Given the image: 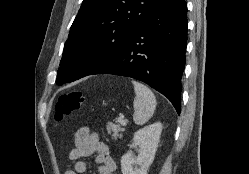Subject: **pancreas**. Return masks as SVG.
I'll use <instances>...</instances> for the list:
<instances>
[{"instance_id":"obj_1","label":"pancreas","mask_w":249,"mask_h":174,"mask_svg":"<svg viewBox=\"0 0 249 174\" xmlns=\"http://www.w3.org/2000/svg\"><path fill=\"white\" fill-rule=\"evenodd\" d=\"M107 131L113 139L117 140L119 137H122V133L125 131V129L119 124L108 122Z\"/></svg>"}]
</instances>
